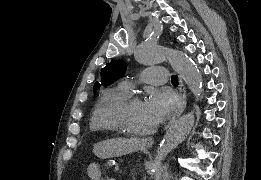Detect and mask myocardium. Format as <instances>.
Listing matches in <instances>:
<instances>
[{
	"mask_svg": "<svg viewBox=\"0 0 261 180\" xmlns=\"http://www.w3.org/2000/svg\"><path fill=\"white\" fill-rule=\"evenodd\" d=\"M141 99V95L139 93L131 92L127 93L118 103L116 106H114L111 110V119L113 123V128H114V134L116 136H126L135 140H139L142 138H151L153 137L156 132L158 131L159 128V123L157 122L155 126L145 135L143 136H136V135H131L127 133L125 128L123 127L121 121L118 118V113L125 109L126 107L130 106L132 103L135 101H138Z\"/></svg>",
	"mask_w": 261,
	"mask_h": 180,
	"instance_id": "1",
	"label": "myocardium"
}]
</instances>
